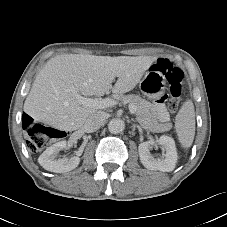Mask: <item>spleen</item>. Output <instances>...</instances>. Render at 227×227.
Here are the masks:
<instances>
[{
	"instance_id": "obj_1",
	"label": "spleen",
	"mask_w": 227,
	"mask_h": 227,
	"mask_svg": "<svg viewBox=\"0 0 227 227\" xmlns=\"http://www.w3.org/2000/svg\"><path fill=\"white\" fill-rule=\"evenodd\" d=\"M175 129L181 145L189 148L195 136V110L191 100L185 101L176 115Z\"/></svg>"
}]
</instances>
